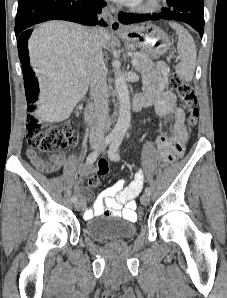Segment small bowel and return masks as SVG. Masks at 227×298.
I'll return each instance as SVG.
<instances>
[{
	"mask_svg": "<svg viewBox=\"0 0 227 298\" xmlns=\"http://www.w3.org/2000/svg\"><path fill=\"white\" fill-rule=\"evenodd\" d=\"M167 76L168 68L165 64L159 63L157 70L147 78L145 90L139 96L145 101V107L154 106L160 120L169 116L173 118L172 135L158 131L155 144L164 162H177L189 138V129L185 122V112L178 105L176 95L166 89ZM26 155L31 163L44 173H53L66 166L63 155L60 153L51 155L49 161L43 160L32 148L26 151ZM92 172L93 168L85 165L80 167L75 174L74 187L84 204L87 199L91 198L92 193L83 187L82 181ZM144 180L143 172L138 171L129 184H126L123 179L116 181L98 194L92 208L85 211L84 218L91 219L95 216L106 215L136 220L135 199L142 191Z\"/></svg>",
	"mask_w": 227,
	"mask_h": 298,
	"instance_id": "small-bowel-1",
	"label": "small bowel"
}]
</instances>
